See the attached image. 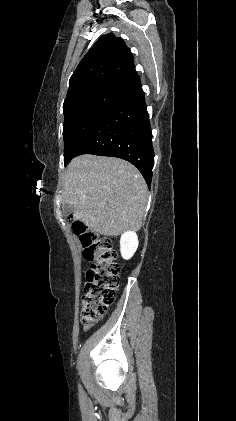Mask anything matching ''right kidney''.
<instances>
[{"label":"right kidney","mask_w":236,"mask_h":421,"mask_svg":"<svg viewBox=\"0 0 236 421\" xmlns=\"http://www.w3.org/2000/svg\"><path fill=\"white\" fill-rule=\"evenodd\" d=\"M138 237L136 233L133 231H129V233H124L121 237L120 241V251L123 259H131L133 257L135 251L138 249Z\"/></svg>","instance_id":"right-kidney-1"}]
</instances>
